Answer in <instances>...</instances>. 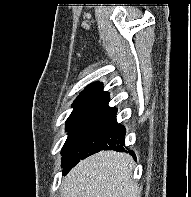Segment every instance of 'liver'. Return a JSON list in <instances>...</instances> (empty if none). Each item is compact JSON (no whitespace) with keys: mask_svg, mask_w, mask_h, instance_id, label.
<instances>
[{"mask_svg":"<svg viewBox=\"0 0 191 197\" xmlns=\"http://www.w3.org/2000/svg\"><path fill=\"white\" fill-rule=\"evenodd\" d=\"M135 163L125 153L102 151L77 164L64 178L62 197H138Z\"/></svg>","mask_w":191,"mask_h":197,"instance_id":"1","label":"liver"}]
</instances>
